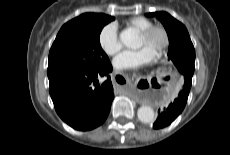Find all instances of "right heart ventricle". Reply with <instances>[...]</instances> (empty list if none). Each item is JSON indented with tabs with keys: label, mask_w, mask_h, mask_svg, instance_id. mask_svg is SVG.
Masks as SVG:
<instances>
[{
	"label": "right heart ventricle",
	"mask_w": 230,
	"mask_h": 155,
	"mask_svg": "<svg viewBox=\"0 0 230 155\" xmlns=\"http://www.w3.org/2000/svg\"><path fill=\"white\" fill-rule=\"evenodd\" d=\"M125 24L128 28L133 29L137 32H141L152 26L153 22L148 18L137 16L128 19Z\"/></svg>",
	"instance_id": "e07e8e85"
}]
</instances>
